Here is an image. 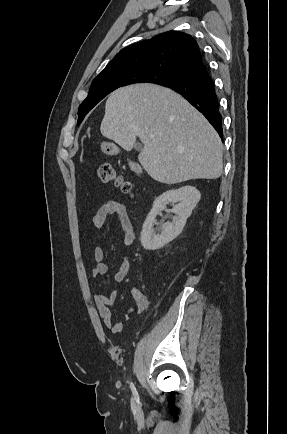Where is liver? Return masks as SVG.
I'll return each mask as SVG.
<instances>
[{"label": "liver", "instance_id": "1", "mask_svg": "<svg viewBox=\"0 0 287 434\" xmlns=\"http://www.w3.org/2000/svg\"><path fill=\"white\" fill-rule=\"evenodd\" d=\"M101 134L130 151L138 137V160L154 180L176 184L216 179L223 145L207 119L174 91L151 84L122 87L105 106Z\"/></svg>", "mask_w": 287, "mask_h": 434}]
</instances>
